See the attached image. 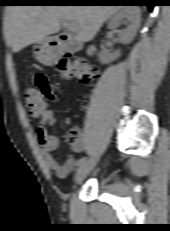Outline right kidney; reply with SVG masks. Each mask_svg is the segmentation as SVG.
Masks as SVG:
<instances>
[{"instance_id": "right-kidney-1", "label": "right kidney", "mask_w": 170, "mask_h": 231, "mask_svg": "<svg viewBox=\"0 0 170 231\" xmlns=\"http://www.w3.org/2000/svg\"><path fill=\"white\" fill-rule=\"evenodd\" d=\"M124 22L127 27L125 30L117 31L119 40L123 44L130 43L139 28L140 25V9L135 6L123 7L121 10L116 12L108 23V28L116 30L121 22ZM120 56V51L115 53L100 52L99 59L102 64L110 63Z\"/></svg>"}]
</instances>
